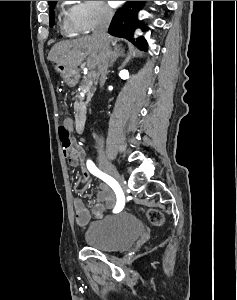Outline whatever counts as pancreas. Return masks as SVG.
<instances>
[{
	"label": "pancreas",
	"mask_w": 237,
	"mask_h": 300,
	"mask_svg": "<svg viewBox=\"0 0 237 300\" xmlns=\"http://www.w3.org/2000/svg\"><path fill=\"white\" fill-rule=\"evenodd\" d=\"M93 81H94V79H91V77H89V75H86V77H83V81H82L81 85H79V87H80V89H82V91H87L88 97H92ZM78 99H80V97H78ZM78 107H81V111H83V107H85V103H80V105H78Z\"/></svg>",
	"instance_id": "pancreas-1"
}]
</instances>
